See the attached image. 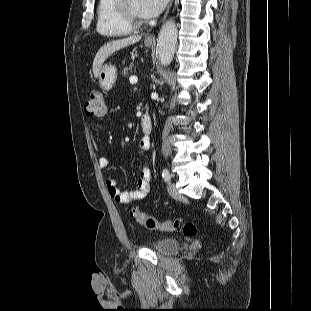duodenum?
<instances>
[{"mask_svg": "<svg viewBox=\"0 0 311 311\" xmlns=\"http://www.w3.org/2000/svg\"><path fill=\"white\" fill-rule=\"evenodd\" d=\"M140 122H141V127L143 130L144 136L149 137V135L152 132V128H153L151 117L148 114H144L141 117Z\"/></svg>", "mask_w": 311, "mask_h": 311, "instance_id": "obj_1", "label": "duodenum"}]
</instances>
